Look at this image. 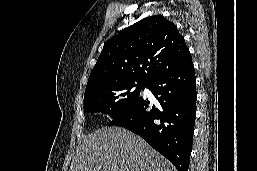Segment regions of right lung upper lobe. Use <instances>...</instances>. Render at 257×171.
<instances>
[{
	"mask_svg": "<svg viewBox=\"0 0 257 171\" xmlns=\"http://www.w3.org/2000/svg\"><path fill=\"white\" fill-rule=\"evenodd\" d=\"M191 60L174 23L162 15L147 17L105 43L85 92L125 82L149 83Z\"/></svg>",
	"mask_w": 257,
	"mask_h": 171,
	"instance_id": "obj_1",
	"label": "right lung upper lobe"
}]
</instances>
